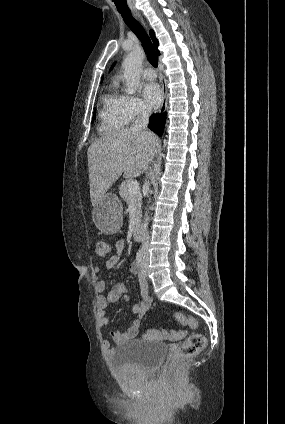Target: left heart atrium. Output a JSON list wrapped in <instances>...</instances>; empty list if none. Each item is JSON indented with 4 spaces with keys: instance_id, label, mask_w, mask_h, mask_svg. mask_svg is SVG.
Segmentation results:
<instances>
[{
    "instance_id": "obj_1",
    "label": "left heart atrium",
    "mask_w": 285,
    "mask_h": 424,
    "mask_svg": "<svg viewBox=\"0 0 285 424\" xmlns=\"http://www.w3.org/2000/svg\"><path fill=\"white\" fill-rule=\"evenodd\" d=\"M143 96L150 107H157L162 101V92L158 84L148 83L143 87Z\"/></svg>"
}]
</instances>
